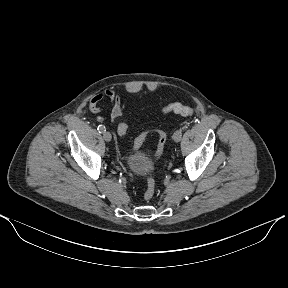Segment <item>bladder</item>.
<instances>
[{
    "label": "bladder",
    "instance_id": "bladder-1",
    "mask_svg": "<svg viewBox=\"0 0 288 288\" xmlns=\"http://www.w3.org/2000/svg\"><path fill=\"white\" fill-rule=\"evenodd\" d=\"M126 164L130 171L137 175L142 176L152 171V160L142 152H136L126 157Z\"/></svg>",
    "mask_w": 288,
    "mask_h": 288
}]
</instances>
